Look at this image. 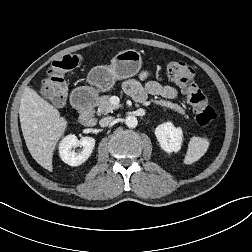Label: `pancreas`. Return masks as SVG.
<instances>
[{
  "mask_svg": "<svg viewBox=\"0 0 252 252\" xmlns=\"http://www.w3.org/2000/svg\"><path fill=\"white\" fill-rule=\"evenodd\" d=\"M155 104L160 105L162 107H167L170 108L178 113H180L182 116H184L185 119H188V116L185 114V111L181 106L178 104L172 103L171 101L167 100H152ZM96 106L98 107L97 109V114H108L110 112H113L115 109H117L119 106H115L111 104L110 102V96L109 95H104L101 97L97 98L96 101Z\"/></svg>",
  "mask_w": 252,
  "mask_h": 252,
  "instance_id": "cf45deb5",
  "label": "pancreas"
}]
</instances>
